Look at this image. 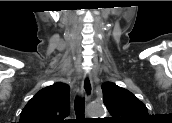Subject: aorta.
Segmentation results:
<instances>
[{
	"instance_id": "762f6f07",
	"label": "aorta",
	"mask_w": 172,
	"mask_h": 123,
	"mask_svg": "<svg viewBox=\"0 0 172 123\" xmlns=\"http://www.w3.org/2000/svg\"><path fill=\"white\" fill-rule=\"evenodd\" d=\"M87 113L91 118L103 117L105 109L102 105L93 103L88 106Z\"/></svg>"
}]
</instances>
